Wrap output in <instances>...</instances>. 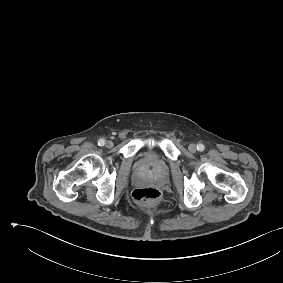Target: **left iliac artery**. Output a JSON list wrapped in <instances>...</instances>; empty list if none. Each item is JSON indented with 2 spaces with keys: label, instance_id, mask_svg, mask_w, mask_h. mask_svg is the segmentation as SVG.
Returning <instances> with one entry per match:
<instances>
[{
  "label": "left iliac artery",
  "instance_id": "left-iliac-artery-1",
  "mask_svg": "<svg viewBox=\"0 0 283 283\" xmlns=\"http://www.w3.org/2000/svg\"><path fill=\"white\" fill-rule=\"evenodd\" d=\"M197 149H198L199 151H204L205 147H204L203 144H198V145H197Z\"/></svg>",
  "mask_w": 283,
  "mask_h": 283
}]
</instances>
